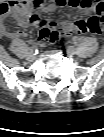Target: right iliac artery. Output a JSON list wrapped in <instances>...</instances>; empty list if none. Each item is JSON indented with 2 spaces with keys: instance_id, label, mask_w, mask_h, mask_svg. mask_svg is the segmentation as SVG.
<instances>
[{
  "instance_id": "1",
  "label": "right iliac artery",
  "mask_w": 104,
  "mask_h": 137,
  "mask_svg": "<svg viewBox=\"0 0 104 137\" xmlns=\"http://www.w3.org/2000/svg\"><path fill=\"white\" fill-rule=\"evenodd\" d=\"M28 50L33 53L36 51V45L33 41L30 42V47L28 48Z\"/></svg>"
}]
</instances>
